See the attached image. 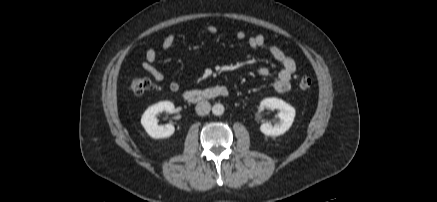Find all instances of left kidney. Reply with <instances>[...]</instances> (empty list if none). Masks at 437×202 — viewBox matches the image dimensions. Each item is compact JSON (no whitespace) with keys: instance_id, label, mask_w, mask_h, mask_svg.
I'll return each mask as SVG.
<instances>
[{"instance_id":"5707ae66","label":"left kidney","mask_w":437,"mask_h":202,"mask_svg":"<svg viewBox=\"0 0 437 202\" xmlns=\"http://www.w3.org/2000/svg\"><path fill=\"white\" fill-rule=\"evenodd\" d=\"M260 109H277L279 110L278 117L280 121L274 125L265 122L260 126V131L267 136H279L284 134L291 127L294 117L295 109L282 99L266 98L261 101Z\"/></svg>"}]
</instances>
